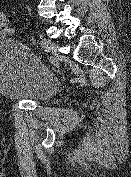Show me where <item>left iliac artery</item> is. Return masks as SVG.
Instances as JSON below:
<instances>
[{
    "label": "left iliac artery",
    "mask_w": 131,
    "mask_h": 177,
    "mask_svg": "<svg viewBox=\"0 0 131 177\" xmlns=\"http://www.w3.org/2000/svg\"><path fill=\"white\" fill-rule=\"evenodd\" d=\"M49 44H50V40L45 39V38L42 39L41 42H40V46H41L42 48H44L46 52H47L48 49H49V47H48ZM47 56H50V53H47Z\"/></svg>",
    "instance_id": "44dca946"
}]
</instances>
